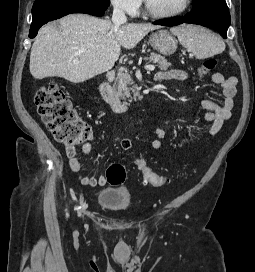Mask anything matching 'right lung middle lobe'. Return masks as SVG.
I'll use <instances>...</instances> for the list:
<instances>
[{
    "mask_svg": "<svg viewBox=\"0 0 255 272\" xmlns=\"http://www.w3.org/2000/svg\"><path fill=\"white\" fill-rule=\"evenodd\" d=\"M81 1L89 3V4H93V5H96V6H99L102 9H105V10L110 5V0H81Z\"/></svg>",
    "mask_w": 255,
    "mask_h": 272,
    "instance_id": "right-lung-middle-lobe-1",
    "label": "right lung middle lobe"
}]
</instances>
